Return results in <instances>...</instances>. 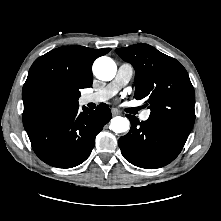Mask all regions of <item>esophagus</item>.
I'll list each match as a JSON object with an SVG mask.
<instances>
[{
  "mask_svg": "<svg viewBox=\"0 0 221 221\" xmlns=\"http://www.w3.org/2000/svg\"><path fill=\"white\" fill-rule=\"evenodd\" d=\"M112 115L115 116V115H119L120 114V111L117 110V109H112Z\"/></svg>",
  "mask_w": 221,
  "mask_h": 221,
  "instance_id": "esophagus-1",
  "label": "esophagus"
}]
</instances>
